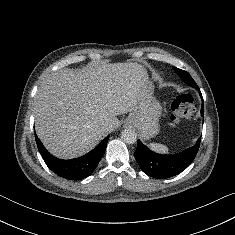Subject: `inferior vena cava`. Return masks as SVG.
<instances>
[{"instance_id":"1","label":"inferior vena cava","mask_w":235,"mask_h":235,"mask_svg":"<svg viewBox=\"0 0 235 235\" xmlns=\"http://www.w3.org/2000/svg\"><path fill=\"white\" fill-rule=\"evenodd\" d=\"M107 127V123H102L101 128L105 129Z\"/></svg>"}]
</instances>
